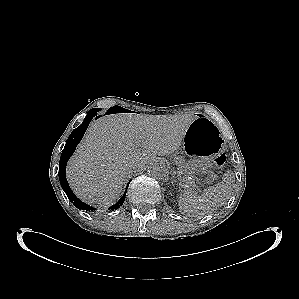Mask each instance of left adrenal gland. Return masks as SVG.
<instances>
[{"mask_svg":"<svg viewBox=\"0 0 299 299\" xmlns=\"http://www.w3.org/2000/svg\"><path fill=\"white\" fill-rule=\"evenodd\" d=\"M174 178H175V176L173 175L172 183L176 181Z\"/></svg>","mask_w":299,"mask_h":299,"instance_id":"a2214340","label":"left adrenal gland"}]
</instances>
